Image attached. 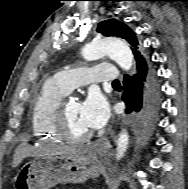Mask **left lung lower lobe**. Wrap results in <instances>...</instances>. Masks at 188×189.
Returning <instances> with one entry per match:
<instances>
[{
	"label": "left lung lower lobe",
	"mask_w": 188,
	"mask_h": 189,
	"mask_svg": "<svg viewBox=\"0 0 188 189\" xmlns=\"http://www.w3.org/2000/svg\"><path fill=\"white\" fill-rule=\"evenodd\" d=\"M123 101L126 113L132 114L139 128L154 124L160 109V87L147 60L137 62V74L124 76Z\"/></svg>",
	"instance_id": "left-lung-lower-lobe-1"
}]
</instances>
